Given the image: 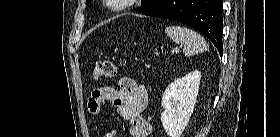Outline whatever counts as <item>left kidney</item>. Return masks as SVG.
Wrapping results in <instances>:
<instances>
[{"label":"left kidney","mask_w":280,"mask_h":137,"mask_svg":"<svg viewBox=\"0 0 280 137\" xmlns=\"http://www.w3.org/2000/svg\"><path fill=\"white\" fill-rule=\"evenodd\" d=\"M201 73L193 71L176 79L162 97V125L169 137H180L188 125L196 103Z\"/></svg>","instance_id":"obj_1"}]
</instances>
